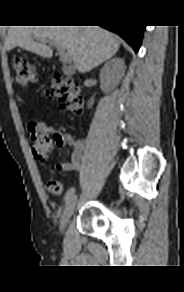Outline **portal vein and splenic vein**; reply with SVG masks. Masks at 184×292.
<instances>
[{
    "label": "portal vein and splenic vein",
    "mask_w": 184,
    "mask_h": 292,
    "mask_svg": "<svg viewBox=\"0 0 184 292\" xmlns=\"http://www.w3.org/2000/svg\"><path fill=\"white\" fill-rule=\"evenodd\" d=\"M54 44V43H52ZM57 50L60 54V57L62 58L64 63H70L71 62V56L68 52L65 51V49L59 45L56 46Z\"/></svg>",
    "instance_id": "1"
}]
</instances>
